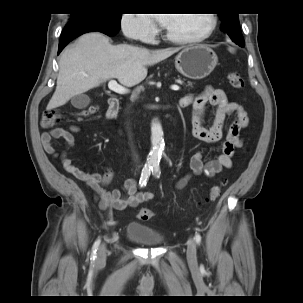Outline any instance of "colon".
Here are the masks:
<instances>
[{
  "instance_id": "5ec220e1",
  "label": "colon",
  "mask_w": 303,
  "mask_h": 303,
  "mask_svg": "<svg viewBox=\"0 0 303 303\" xmlns=\"http://www.w3.org/2000/svg\"><path fill=\"white\" fill-rule=\"evenodd\" d=\"M227 78H228L229 83L235 89H242L245 86L243 78L240 76L239 73H237L235 71L229 72ZM95 111H96V107L91 106L87 110L83 111L82 115L87 116L89 114H93ZM61 117H62L61 113L57 110H46L42 117V125L45 128H52L61 122ZM224 185H225V183L222 182L220 184L213 186L210 189L206 200L213 201V200L217 199L220 196ZM153 215L154 214L150 210L142 209L137 214V217L140 220L146 221V220L151 219L153 217Z\"/></svg>"
}]
</instances>
